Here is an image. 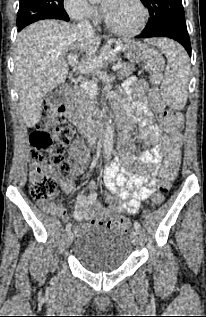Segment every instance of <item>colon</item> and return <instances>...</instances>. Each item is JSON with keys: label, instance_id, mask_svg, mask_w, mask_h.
Returning <instances> with one entry per match:
<instances>
[{"label": "colon", "instance_id": "colon-1", "mask_svg": "<svg viewBox=\"0 0 206 317\" xmlns=\"http://www.w3.org/2000/svg\"><path fill=\"white\" fill-rule=\"evenodd\" d=\"M146 67L151 72L154 84L162 79L163 59L160 55H153L146 61ZM65 108L45 105L42 109V118L36 129L30 134L31 162L29 191L36 201H48L57 189L58 181L52 171L56 168L63 178L70 179L80 170V162L67 159L65 150L70 143L73 132L65 126ZM161 126L167 132L173 133L183 128L184 119L181 113L173 109L163 108L160 118ZM180 152L173 151L166 159L161 170L158 186L161 194L152 199V206L162 202V193H166L175 179L180 165ZM108 226L116 231L125 232L130 223L122 217L108 221Z\"/></svg>", "mask_w": 206, "mask_h": 317}]
</instances>
